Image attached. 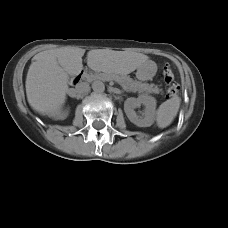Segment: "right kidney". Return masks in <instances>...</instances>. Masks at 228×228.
Here are the masks:
<instances>
[{
	"instance_id": "obj_1",
	"label": "right kidney",
	"mask_w": 228,
	"mask_h": 228,
	"mask_svg": "<svg viewBox=\"0 0 228 228\" xmlns=\"http://www.w3.org/2000/svg\"><path fill=\"white\" fill-rule=\"evenodd\" d=\"M69 111L67 109L60 110L57 113L51 115V117L55 120H64L68 116Z\"/></svg>"
}]
</instances>
